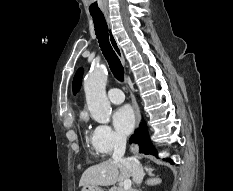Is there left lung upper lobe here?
I'll return each instance as SVG.
<instances>
[{"label":"left lung upper lobe","mask_w":233,"mask_h":191,"mask_svg":"<svg viewBox=\"0 0 233 191\" xmlns=\"http://www.w3.org/2000/svg\"><path fill=\"white\" fill-rule=\"evenodd\" d=\"M82 75H83V70L80 68L76 72V74L74 76V80H73V92H74V94H76V92H78L80 89Z\"/></svg>","instance_id":"5c2ea615"}]
</instances>
